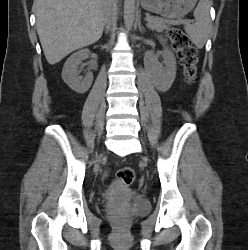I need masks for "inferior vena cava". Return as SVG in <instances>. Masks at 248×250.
I'll use <instances>...</instances> for the list:
<instances>
[{"label": "inferior vena cava", "mask_w": 248, "mask_h": 250, "mask_svg": "<svg viewBox=\"0 0 248 250\" xmlns=\"http://www.w3.org/2000/svg\"><path fill=\"white\" fill-rule=\"evenodd\" d=\"M111 13H112V2L111 0H106L104 4V24L107 30L110 29L112 24Z\"/></svg>", "instance_id": "obj_1"}]
</instances>
